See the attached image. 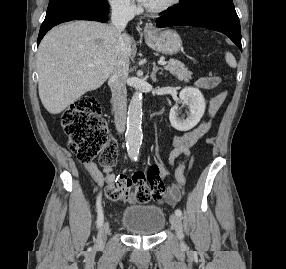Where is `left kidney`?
<instances>
[{
	"label": "left kidney",
	"instance_id": "5707ae66",
	"mask_svg": "<svg viewBox=\"0 0 286 269\" xmlns=\"http://www.w3.org/2000/svg\"><path fill=\"white\" fill-rule=\"evenodd\" d=\"M180 100L189 108L186 119L178 117V106H174L169 113V120L176 130L188 131L195 127L204 115L206 104L201 91L193 87H185L179 94Z\"/></svg>",
	"mask_w": 286,
	"mask_h": 269
}]
</instances>
